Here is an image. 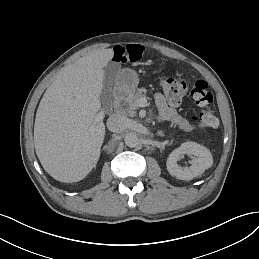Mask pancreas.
Here are the masks:
<instances>
[{"label":"pancreas","instance_id":"pancreas-1","mask_svg":"<svg viewBox=\"0 0 259 259\" xmlns=\"http://www.w3.org/2000/svg\"><path fill=\"white\" fill-rule=\"evenodd\" d=\"M146 93L147 90L145 88H138L135 92L129 93L125 98L123 106H125V111L130 117L136 116V110L139 107V99L145 97Z\"/></svg>","mask_w":259,"mask_h":259}]
</instances>
